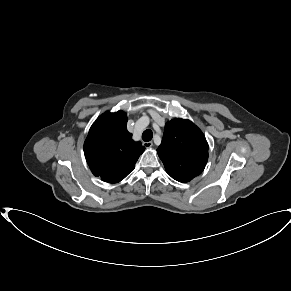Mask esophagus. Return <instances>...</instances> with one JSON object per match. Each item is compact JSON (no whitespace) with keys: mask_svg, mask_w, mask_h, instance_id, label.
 I'll return each instance as SVG.
<instances>
[{"mask_svg":"<svg viewBox=\"0 0 291 291\" xmlns=\"http://www.w3.org/2000/svg\"><path fill=\"white\" fill-rule=\"evenodd\" d=\"M143 145L145 148H151L153 146V142L152 141L143 142Z\"/></svg>","mask_w":291,"mask_h":291,"instance_id":"esophagus-1","label":"esophagus"}]
</instances>
